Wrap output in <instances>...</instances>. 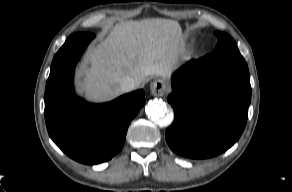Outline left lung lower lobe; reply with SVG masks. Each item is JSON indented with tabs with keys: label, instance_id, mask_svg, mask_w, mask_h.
<instances>
[{
	"label": "left lung lower lobe",
	"instance_id": "1",
	"mask_svg": "<svg viewBox=\"0 0 292 192\" xmlns=\"http://www.w3.org/2000/svg\"><path fill=\"white\" fill-rule=\"evenodd\" d=\"M172 85L168 102L175 118L165 138L175 153L210 158L239 139L251 101L249 71L240 52L218 51L190 60L173 74Z\"/></svg>",
	"mask_w": 292,
	"mask_h": 192
}]
</instances>
